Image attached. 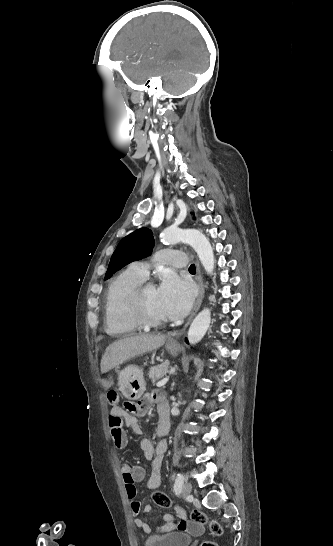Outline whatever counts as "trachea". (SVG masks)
<instances>
[{
	"instance_id": "obj_1",
	"label": "trachea",
	"mask_w": 333,
	"mask_h": 546,
	"mask_svg": "<svg viewBox=\"0 0 333 546\" xmlns=\"http://www.w3.org/2000/svg\"><path fill=\"white\" fill-rule=\"evenodd\" d=\"M195 270H196L195 265H194V264L190 265L189 271H190V272H195Z\"/></svg>"
}]
</instances>
